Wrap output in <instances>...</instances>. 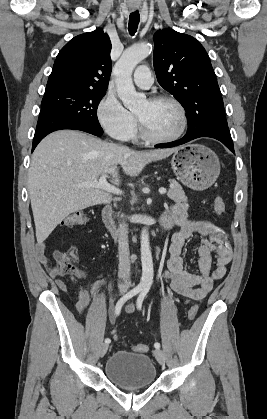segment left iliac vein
I'll return each instance as SVG.
<instances>
[{
  "label": "left iliac vein",
  "mask_w": 267,
  "mask_h": 419,
  "mask_svg": "<svg viewBox=\"0 0 267 419\" xmlns=\"http://www.w3.org/2000/svg\"><path fill=\"white\" fill-rule=\"evenodd\" d=\"M154 356L156 360L159 362V364L164 365L165 364V355L162 350L156 349L154 351Z\"/></svg>",
  "instance_id": "left-iliac-vein-1"
}]
</instances>
